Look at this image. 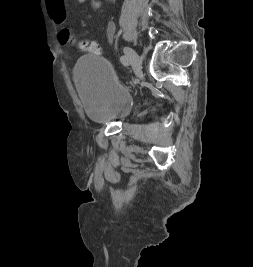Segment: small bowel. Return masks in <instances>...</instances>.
<instances>
[{"mask_svg":"<svg viewBox=\"0 0 253 267\" xmlns=\"http://www.w3.org/2000/svg\"><path fill=\"white\" fill-rule=\"evenodd\" d=\"M76 1L77 3L81 4L84 3L86 0H76ZM46 4L53 21L58 25L65 24L67 21V12L64 0H46ZM115 30H116L115 24L113 22L109 23L107 27V37L110 41L114 39Z\"/></svg>","mask_w":253,"mask_h":267,"instance_id":"1","label":"small bowel"}]
</instances>
